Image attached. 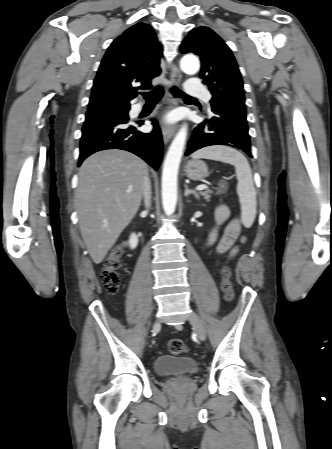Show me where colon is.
<instances>
[{
    "instance_id": "5ec220e1",
    "label": "colon",
    "mask_w": 332,
    "mask_h": 449,
    "mask_svg": "<svg viewBox=\"0 0 332 449\" xmlns=\"http://www.w3.org/2000/svg\"><path fill=\"white\" fill-rule=\"evenodd\" d=\"M228 183L226 180H220L218 183V194L224 195L227 192ZM126 243L121 242L116 245L104 261V267L101 272V283L103 288L110 293H115L121 283L120 269L122 267V255L125 251ZM222 283L221 287L225 299L231 302L234 298V289L231 282V270L228 265L221 269ZM169 352L173 355H181L187 351V347L180 339H173L168 344Z\"/></svg>"
}]
</instances>
